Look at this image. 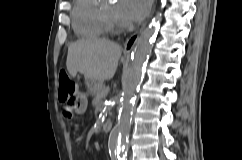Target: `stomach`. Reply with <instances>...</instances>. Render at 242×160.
Segmentation results:
<instances>
[{"mask_svg":"<svg viewBox=\"0 0 242 160\" xmlns=\"http://www.w3.org/2000/svg\"><path fill=\"white\" fill-rule=\"evenodd\" d=\"M85 84L90 95H96L103 88V83L94 79H85Z\"/></svg>","mask_w":242,"mask_h":160,"instance_id":"1","label":"stomach"}]
</instances>
